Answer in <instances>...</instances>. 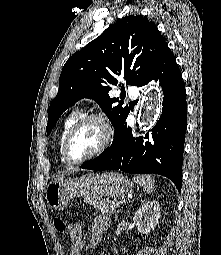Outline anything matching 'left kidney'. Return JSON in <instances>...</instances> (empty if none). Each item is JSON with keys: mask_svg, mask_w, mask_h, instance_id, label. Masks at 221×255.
I'll return each mask as SVG.
<instances>
[{"mask_svg": "<svg viewBox=\"0 0 221 255\" xmlns=\"http://www.w3.org/2000/svg\"><path fill=\"white\" fill-rule=\"evenodd\" d=\"M160 206L157 200L144 203L134 214L133 221L140 233L154 230L160 218Z\"/></svg>", "mask_w": 221, "mask_h": 255, "instance_id": "left-kidney-1", "label": "left kidney"}]
</instances>
